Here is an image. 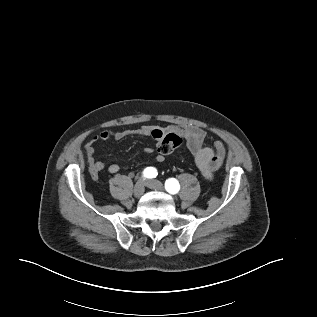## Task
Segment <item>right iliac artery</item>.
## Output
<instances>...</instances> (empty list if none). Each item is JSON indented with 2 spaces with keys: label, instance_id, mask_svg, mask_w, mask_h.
<instances>
[{
  "label": "right iliac artery",
  "instance_id": "82829eb1",
  "mask_svg": "<svg viewBox=\"0 0 317 317\" xmlns=\"http://www.w3.org/2000/svg\"><path fill=\"white\" fill-rule=\"evenodd\" d=\"M157 175V170L154 167H147L143 171L144 178H155Z\"/></svg>",
  "mask_w": 317,
  "mask_h": 317
}]
</instances>
